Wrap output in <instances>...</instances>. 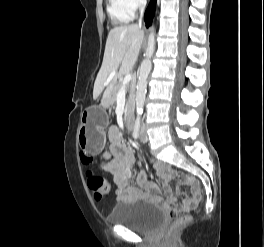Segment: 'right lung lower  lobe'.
<instances>
[{
  "label": "right lung lower lobe",
  "instance_id": "obj_1",
  "mask_svg": "<svg viewBox=\"0 0 264 247\" xmlns=\"http://www.w3.org/2000/svg\"><path fill=\"white\" fill-rule=\"evenodd\" d=\"M155 5H156V0H151V3L149 5L148 9L146 10L145 23H146L147 28L151 25V22H152V19L154 16Z\"/></svg>",
  "mask_w": 264,
  "mask_h": 247
}]
</instances>
